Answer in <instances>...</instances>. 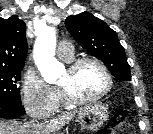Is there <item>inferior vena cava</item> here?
<instances>
[{"label":"inferior vena cava","mask_w":153,"mask_h":134,"mask_svg":"<svg viewBox=\"0 0 153 134\" xmlns=\"http://www.w3.org/2000/svg\"><path fill=\"white\" fill-rule=\"evenodd\" d=\"M37 126L41 128L43 126V124H37Z\"/></svg>","instance_id":"1"}]
</instances>
